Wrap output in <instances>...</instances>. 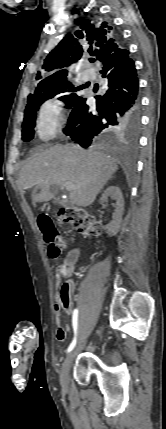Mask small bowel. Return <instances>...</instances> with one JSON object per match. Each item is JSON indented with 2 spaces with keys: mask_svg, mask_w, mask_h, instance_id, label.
<instances>
[{
  "mask_svg": "<svg viewBox=\"0 0 166 429\" xmlns=\"http://www.w3.org/2000/svg\"><path fill=\"white\" fill-rule=\"evenodd\" d=\"M80 256V249L79 248H72L70 249L62 263L58 266L56 270V282L58 285V293L55 297V312H56V338L63 342L66 338V332L70 330V327L63 326L61 324V311H64L67 314L72 313V291H73V283L72 282H66L69 285V292L65 293L63 289V285H60V280L62 278L70 277L74 272V266L77 260Z\"/></svg>",
  "mask_w": 166,
  "mask_h": 429,
  "instance_id": "1",
  "label": "small bowel"
}]
</instances>
